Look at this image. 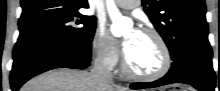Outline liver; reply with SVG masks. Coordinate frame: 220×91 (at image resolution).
<instances>
[{
  "label": "liver",
  "mask_w": 220,
  "mask_h": 91,
  "mask_svg": "<svg viewBox=\"0 0 220 91\" xmlns=\"http://www.w3.org/2000/svg\"><path fill=\"white\" fill-rule=\"evenodd\" d=\"M20 91H115L111 84L100 86L91 73L59 68L45 72L25 83Z\"/></svg>",
  "instance_id": "1"
}]
</instances>
